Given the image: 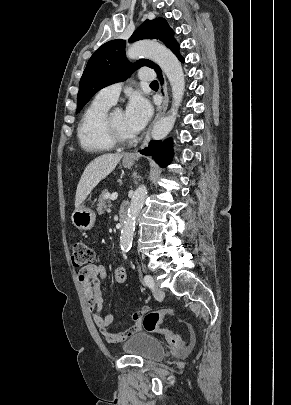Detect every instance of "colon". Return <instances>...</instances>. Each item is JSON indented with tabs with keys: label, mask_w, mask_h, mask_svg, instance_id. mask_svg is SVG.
I'll use <instances>...</instances> for the list:
<instances>
[{
	"label": "colon",
	"mask_w": 291,
	"mask_h": 405,
	"mask_svg": "<svg viewBox=\"0 0 291 405\" xmlns=\"http://www.w3.org/2000/svg\"><path fill=\"white\" fill-rule=\"evenodd\" d=\"M95 259L94 249L84 241H75L71 246V260L75 267L92 265ZM113 277L115 282L123 284L126 281V270L123 266L114 269ZM172 308H165L151 311L142 319L143 328L151 333L161 334L166 341L174 348H181L184 345L183 339L167 328H161L160 323L165 316L173 314Z\"/></svg>",
	"instance_id": "obj_1"
}]
</instances>
